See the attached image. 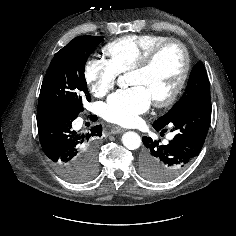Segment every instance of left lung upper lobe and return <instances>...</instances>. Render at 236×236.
<instances>
[{
  "label": "left lung upper lobe",
  "instance_id": "5c2ea615",
  "mask_svg": "<svg viewBox=\"0 0 236 236\" xmlns=\"http://www.w3.org/2000/svg\"><path fill=\"white\" fill-rule=\"evenodd\" d=\"M205 96H210V85L205 67L202 62H199L192 69L185 93L181 99L168 113L158 118L153 125H165L175 115L183 111L190 104Z\"/></svg>",
  "mask_w": 236,
  "mask_h": 236
}]
</instances>
